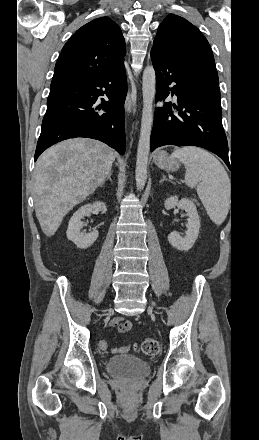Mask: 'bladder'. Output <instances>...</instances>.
Segmentation results:
<instances>
[{"label": "bladder", "mask_w": 259, "mask_h": 440, "mask_svg": "<svg viewBox=\"0 0 259 440\" xmlns=\"http://www.w3.org/2000/svg\"><path fill=\"white\" fill-rule=\"evenodd\" d=\"M109 375L114 377L142 378L150 373L149 362L131 354L110 357L105 365Z\"/></svg>", "instance_id": "1"}]
</instances>
